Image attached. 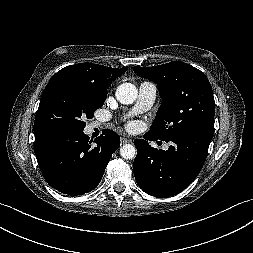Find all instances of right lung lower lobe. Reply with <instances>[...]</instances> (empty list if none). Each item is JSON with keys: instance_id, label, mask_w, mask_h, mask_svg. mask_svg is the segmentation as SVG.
<instances>
[{"instance_id": "obj_1", "label": "right lung lower lobe", "mask_w": 253, "mask_h": 253, "mask_svg": "<svg viewBox=\"0 0 253 253\" xmlns=\"http://www.w3.org/2000/svg\"><path fill=\"white\" fill-rule=\"evenodd\" d=\"M94 142L91 144L83 131L51 130L35 134V154L47 183L68 195L93 190L120 146V137L105 129Z\"/></svg>"}]
</instances>
